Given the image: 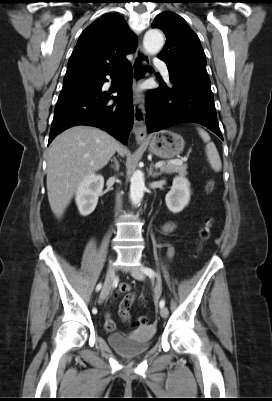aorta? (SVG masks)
Segmentation results:
<instances>
[{
	"instance_id": "762f6f07",
	"label": "aorta",
	"mask_w": 272,
	"mask_h": 401,
	"mask_svg": "<svg viewBox=\"0 0 272 401\" xmlns=\"http://www.w3.org/2000/svg\"><path fill=\"white\" fill-rule=\"evenodd\" d=\"M164 45V36L157 29L148 30L143 38L145 51L150 55L157 54ZM130 199L133 205L142 201L145 191L144 175L141 171H135L130 179Z\"/></svg>"
}]
</instances>
